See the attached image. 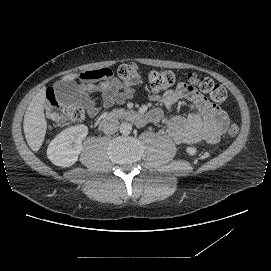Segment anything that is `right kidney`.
I'll return each instance as SVG.
<instances>
[{"mask_svg": "<svg viewBox=\"0 0 271 271\" xmlns=\"http://www.w3.org/2000/svg\"><path fill=\"white\" fill-rule=\"evenodd\" d=\"M88 133L86 125L78 124L63 130L49 144L47 155L56 165L74 164L82 150V141Z\"/></svg>", "mask_w": 271, "mask_h": 271, "instance_id": "right-kidney-1", "label": "right kidney"}]
</instances>
